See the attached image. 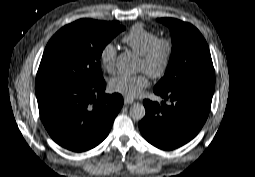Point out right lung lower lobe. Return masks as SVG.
Instances as JSON below:
<instances>
[{
  "label": "right lung lower lobe",
  "instance_id": "1",
  "mask_svg": "<svg viewBox=\"0 0 255 177\" xmlns=\"http://www.w3.org/2000/svg\"><path fill=\"white\" fill-rule=\"evenodd\" d=\"M105 87L104 79L87 86L64 82L36 86L41 120L56 143L83 152L107 137L123 98L105 94Z\"/></svg>",
  "mask_w": 255,
  "mask_h": 177
}]
</instances>
